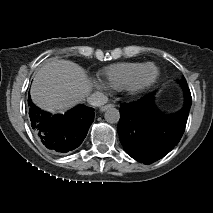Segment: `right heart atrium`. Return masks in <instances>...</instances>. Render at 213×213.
<instances>
[{"label":"right heart atrium","mask_w":213,"mask_h":213,"mask_svg":"<svg viewBox=\"0 0 213 213\" xmlns=\"http://www.w3.org/2000/svg\"><path fill=\"white\" fill-rule=\"evenodd\" d=\"M96 87L98 89L104 90L107 88V85L103 81H97L96 82Z\"/></svg>","instance_id":"obj_1"}]
</instances>
